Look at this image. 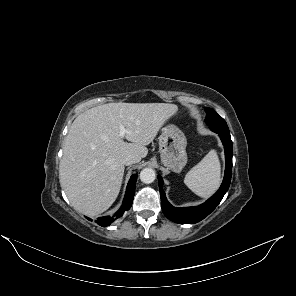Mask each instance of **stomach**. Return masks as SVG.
Here are the masks:
<instances>
[{
    "label": "stomach",
    "mask_w": 296,
    "mask_h": 296,
    "mask_svg": "<svg viewBox=\"0 0 296 296\" xmlns=\"http://www.w3.org/2000/svg\"><path fill=\"white\" fill-rule=\"evenodd\" d=\"M187 140L184 133L175 125H167L159 137V152L163 165L176 173L181 172L187 163Z\"/></svg>",
    "instance_id": "obj_1"
}]
</instances>
